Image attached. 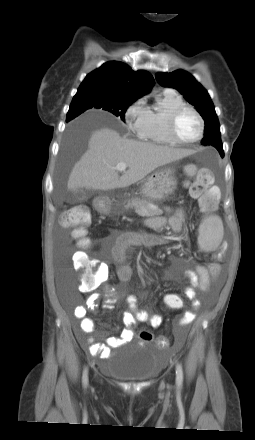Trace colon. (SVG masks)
<instances>
[{
	"mask_svg": "<svg viewBox=\"0 0 255 440\" xmlns=\"http://www.w3.org/2000/svg\"><path fill=\"white\" fill-rule=\"evenodd\" d=\"M186 174L193 177L191 183H187L190 195L199 199L202 209L213 211L217 206L218 193L212 187L214 177L210 169L195 166H188ZM91 220V212L85 205H76L64 211L60 217L62 227L69 229L72 235L79 240L81 246L87 245L86 230ZM73 267L81 272L80 290L90 291L96 286L97 267L84 251H77L73 255ZM161 303L168 311H184V298H162ZM143 341H151L153 335L149 331H140ZM157 344L162 352H169L172 347V340L166 338L165 334H157Z\"/></svg>",
	"mask_w": 255,
	"mask_h": 440,
	"instance_id": "5ec220e1",
	"label": "colon"
}]
</instances>
